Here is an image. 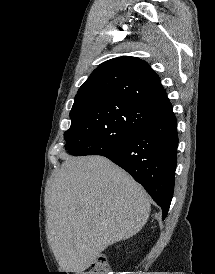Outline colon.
I'll use <instances>...</instances> for the list:
<instances>
[{
  "mask_svg": "<svg viewBox=\"0 0 215 274\" xmlns=\"http://www.w3.org/2000/svg\"><path fill=\"white\" fill-rule=\"evenodd\" d=\"M110 269L108 260L105 256H99L91 265L90 270L85 274H108Z\"/></svg>",
  "mask_w": 215,
  "mask_h": 274,
  "instance_id": "obj_1",
  "label": "colon"
}]
</instances>
